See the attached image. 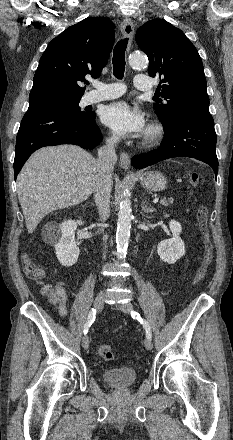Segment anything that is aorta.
<instances>
[{
  "label": "aorta",
  "instance_id": "1",
  "mask_svg": "<svg viewBox=\"0 0 233 440\" xmlns=\"http://www.w3.org/2000/svg\"><path fill=\"white\" fill-rule=\"evenodd\" d=\"M129 64L134 69H143L147 66V58L142 53H135L130 56ZM131 220V201L129 198H124L120 202L116 232L117 254L120 257H124L127 254L130 239Z\"/></svg>",
  "mask_w": 233,
  "mask_h": 440
}]
</instances>
